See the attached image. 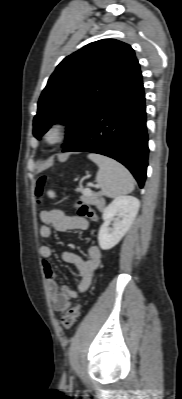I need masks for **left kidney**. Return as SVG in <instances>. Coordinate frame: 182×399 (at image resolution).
I'll use <instances>...</instances> for the list:
<instances>
[{"label":"left kidney","mask_w":182,"mask_h":399,"mask_svg":"<svg viewBox=\"0 0 182 399\" xmlns=\"http://www.w3.org/2000/svg\"><path fill=\"white\" fill-rule=\"evenodd\" d=\"M140 207V201L133 196L115 198L103 211L104 223L98 234L99 246L109 250L117 245L132 225ZM117 216V218H115ZM114 221V228H109Z\"/></svg>","instance_id":"1"}]
</instances>
